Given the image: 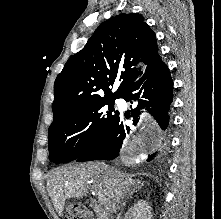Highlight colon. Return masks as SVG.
I'll return each instance as SVG.
<instances>
[{
	"instance_id": "1",
	"label": "colon",
	"mask_w": 221,
	"mask_h": 219,
	"mask_svg": "<svg viewBox=\"0 0 221 219\" xmlns=\"http://www.w3.org/2000/svg\"><path fill=\"white\" fill-rule=\"evenodd\" d=\"M67 217L66 219H84L85 214L83 209L76 204H71L66 209Z\"/></svg>"
}]
</instances>
